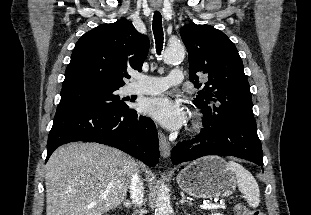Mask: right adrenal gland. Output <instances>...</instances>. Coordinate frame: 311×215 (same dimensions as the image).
<instances>
[{
    "mask_svg": "<svg viewBox=\"0 0 311 215\" xmlns=\"http://www.w3.org/2000/svg\"><path fill=\"white\" fill-rule=\"evenodd\" d=\"M124 205H125L126 207H131L132 203H131L129 200H125V201H124Z\"/></svg>",
    "mask_w": 311,
    "mask_h": 215,
    "instance_id": "2a0ac1e0",
    "label": "right adrenal gland"
}]
</instances>
